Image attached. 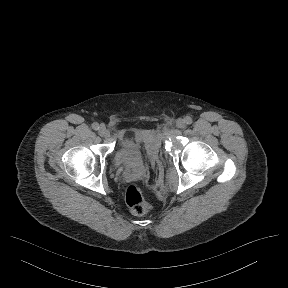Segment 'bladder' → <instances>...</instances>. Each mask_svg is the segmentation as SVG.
<instances>
[{"instance_id":"bladder-1","label":"bladder","mask_w":288,"mask_h":288,"mask_svg":"<svg viewBox=\"0 0 288 288\" xmlns=\"http://www.w3.org/2000/svg\"><path fill=\"white\" fill-rule=\"evenodd\" d=\"M160 151V140L153 129H133L118 136L112 151V162L116 167L135 168L145 160L156 158Z\"/></svg>"}]
</instances>
